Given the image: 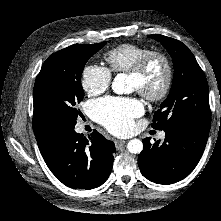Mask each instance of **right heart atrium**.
<instances>
[{
  "label": "right heart atrium",
  "instance_id": "d8ad5b80",
  "mask_svg": "<svg viewBox=\"0 0 221 221\" xmlns=\"http://www.w3.org/2000/svg\"><path fill=\"white\" fill-rule=\"evenodd\" d=\"M112 75L105 67L87 64L82 71L81 83L84 91L91 96L105 92L111 84Z\"/></svg>",
  "mask_w": 221,
  "mask_h": 221
}]
</instances>
